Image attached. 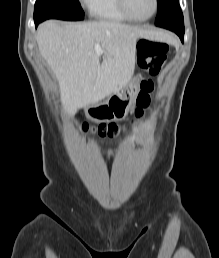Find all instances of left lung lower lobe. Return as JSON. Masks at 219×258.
<instances>
[{
	"label": "left lung lower lobe",
	"mask_w": 219,
	"mask_h": 258,
	"mask_svg": "<svg viewBox=\"0 0 219 258\" xmlns=\"http://www.w3.org/2000/svg\"><path fill=\"white\" fill-rule=\"evenodd\" d=\"M155 25L175 32L180 37L181 41L184 42V21H168Z\"/></svg>",
	"instance_id": "left-lung-lower-lobe-1"
}]
</instances>
